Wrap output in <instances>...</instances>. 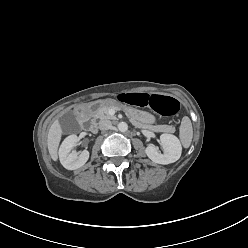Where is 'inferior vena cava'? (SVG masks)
Segmentation results:
<instances>
[{
  "instance_id": "1",
  "label": "inferior vena cava",
  "mask_w": 248,
  "mask_h": 248,
  "mask_svg": "<svg viewBox=\"0 0 248 248\" xmlns=\"http://www.w3.org/2000/svg\"><path fill=\"white\" fill-rule=\"evenodd\" d=\"M112 127V123L109 120H101L99 122V129L100 130H108Z\"/></svg>"
}]
</instances>
